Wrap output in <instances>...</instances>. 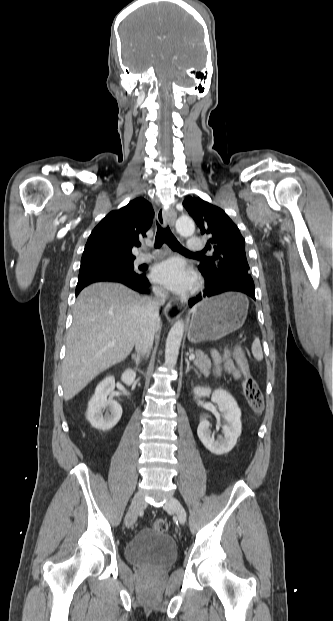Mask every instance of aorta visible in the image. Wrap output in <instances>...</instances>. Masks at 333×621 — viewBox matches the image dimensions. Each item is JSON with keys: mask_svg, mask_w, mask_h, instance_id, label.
Wrapping results in <instances>:
<instances>
[{"mask_svg": "<svg viewBox=\"0 0 333 621\" xmlns=\"http://www.w3.org/2000/svg\"><path fill=\"white\" fill-rule=\"evenodd\" d=\"M176 229L183 237H190L195 231V225L190 218H179L176 222ZM184 333V322L177 320L170 329L165 345V364L172 369L176 366L179 348Z\"/></svg>", "mask_w": 333, "mask_h": 621, "instance_id": "aorta-1", "label": "aorta"}]
</instances>
